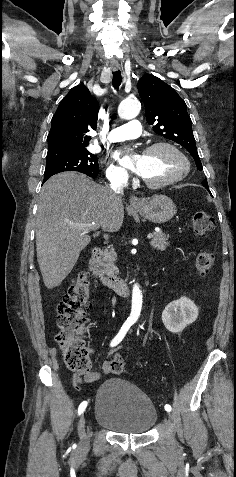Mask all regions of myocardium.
I'll return each mask as SVG.
<instances>
[{
	"label": "myocardium",
	"mask_w": 236,
	"mask_h": 477,
	"mask_svg": "<svg viewBox=\"0 0 236 477\" xmlns=\"http://www.w3.org/2000/svg\"><path fill=\"white\" fill-rule=\"evenodd\" d=\"M160 148H168L171 151H173L175 154H177L182 159L184 166H183V170L179 174H177L176 176H174V177H172L168 180L162 181V182H151V181H148V180L144 179L143 177H141L142 183L146 187H149L151 189H162V188L172 186V185L180 182L181 180H183L188 175V173L190 172V169H191V164H190V161H189L188 157L185 155V153L177 145H175L172 142H168V141L155 142V143L149 145L148 147H146V149L144 150V154L148 153V152H151V151H154V150H157V149H160Z\"/></svg>",
	"instance_id": "myocardium-1"
}]
</instances>
